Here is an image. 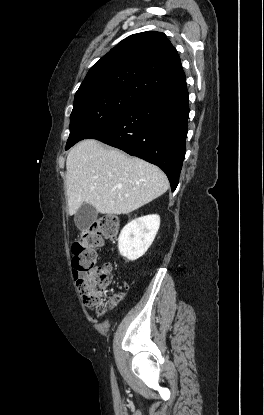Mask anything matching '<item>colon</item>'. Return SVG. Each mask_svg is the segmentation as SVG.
Returning <instances> with one entry per match:
<instances>
[{
	"label": "colon",
	"mask_w": 264,
	"mask_h": 415,
	"mask_svg": "<svg viewBox=\"0 0 264 415\" xmlns=\"http://www.w3.org/2000/svg\"><path fill=\"white\" fill-rule=\"evenodd\" d=\"M118 231V217L107 215L95 221L72 245L71 267L78 275L80 296L84 306L95 310L97 316L103 315L108 305H115L122 298V295H117L108 304L105 302L113 267L110 264L97 265V252L103 248L105 240H114Z\"/></svg>",
	"instance_id": "1"
}]
</instances>
